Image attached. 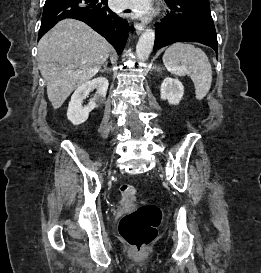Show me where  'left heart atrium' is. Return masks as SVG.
Here are the masks:
<instances>
[{"instance_id": "39dd6f15", "label": "left heart atrium", "mask_w": 261, "mask_h": 273, "mask_svg": "<svg viewBox=\"0 0 261 273\" xmlns=\"http://www.w3.org/2000/svg\"><path fill=\"white\" fill-rule=\"evenodd\" d=\"M111 7L117 11L128 10L141 17L150 13L152 0H110Z\"/></svg>"}]
</instances>
